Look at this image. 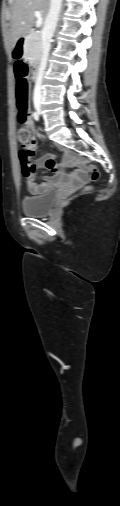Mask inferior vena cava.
Segmentation results:
<instances>
[{
	"instance_id": "inferior-vena-cava-1",
	"label": "inferior vena cava",
	"mask_w": 120,
	"mask_h": 506,
	"mask_svg": "<svg viewBox=\"0 0 120 506\" xmlns=\"http://www.w3.org/2000/svg\"><path fill=\"white\" fill-rule=\"evenodd\" d=\"M61 7H62V0H50L49 12L45 18L42 31V58L33 94L34 102H40L42 99V92H41L42 79L47 67V60L51 48V40L57 26Z\"/></svg>"
}]
</instances>
